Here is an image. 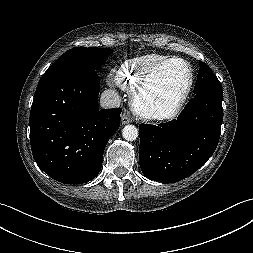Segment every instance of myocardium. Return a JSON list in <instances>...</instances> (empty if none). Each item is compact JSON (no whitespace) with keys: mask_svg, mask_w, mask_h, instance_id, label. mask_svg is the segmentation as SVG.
I'll list each match as a JSON object with an SVG mask.
<instances>
[{"mask_svg":"<svg viewBox=\"0 0 253 253\" xmlns=\"http://www.w3.org/2000/svg\"><path fill=\"white\" fill-rule=\"evenodd\" d=\"M178 61L183 64H185L189 70V79H188V84L183 91V93L176 99L174 102L173 106L168 110V111H158L155 110L151 107H149L145 102H144V94L148 88V85L153 78V76L164 66L167 64ZM194 69L193 66L189 61L182 57H169L165 60H162L155 65H153L142 77L140 80L138 86L132 93V107L134 112L139 115L140 117L147 119V120H152V121H166V120H171L175 118L176 116L179 115V113L182 111L191 91L193 88L194 84Z\"/></svg>","mask_w":253,"mask_h":253,"instance_id":"1","label":"myocardium"}]
</instances>
